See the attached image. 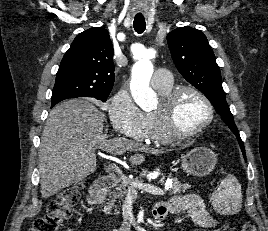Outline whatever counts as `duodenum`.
I'll list each match as a JSON object with an SVG mask.
<instances>
[{
	"mask_svg": "<svg viewBox=\"0 0 268 231\" xmlns=\"http://www.w3.org/2000/svg\"><path fill=\"white\" fill-rule=\"evenodd\" d=\"M118 180V176L114 173H110L98 179L92 186L89 203L94 205L100 201L103 198L105 191L115 186L118 183Z\"/></svg>",
	"mask_w": 268,
	"mask_h": 231,
	"instance_id": "obj_1",
	"label": "duodenum"
}]
</instances>
